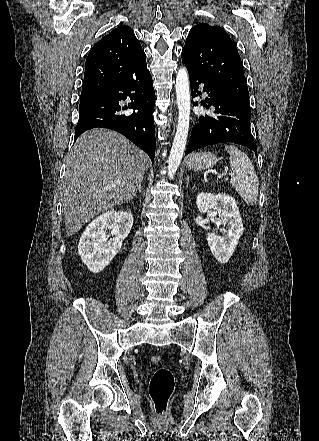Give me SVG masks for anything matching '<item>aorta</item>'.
I'll list each match as a JSON object with an SVG mask.
<instances>
[{"label": "aorta", "instance_id": "aorta-1", "mask_svg": "<svg viewBox=\"0 0 319 441\" xmlns=\"http://www.w3.org/2000/svg\"><path fill=\"white\" fill-rule=\"evenodd\" d=\"M178 125L168 160V177L173 179L181 163L187 142L190 122L189 76L185 67L178 69L176 76Z\"/></svg>", "mask_w": 319, "mask_h": 441}]
</instances>
